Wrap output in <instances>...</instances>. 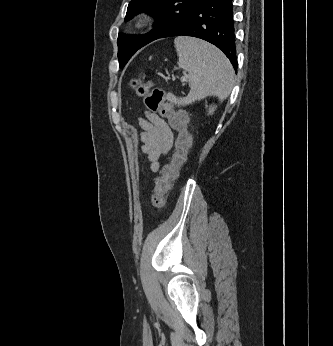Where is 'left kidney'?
Wrapping results in <instances>:
<instances>
[{
  "instance_id": "1",
  "label": "left kidney",
  "mask_w": 333,
  "mask_h": 346,
  "mask_svg": "<svg viewBox=\"0 0 333 346\" xmlns=\"http://www.w3.org/2000/svg\"><path fill=\"white\" fill-rule=\"evenodd\" d=\"M214 110H215V108H214V107H211V108L209 109V113H210V114H213Z\"/></svg>"
}]
</instances>
